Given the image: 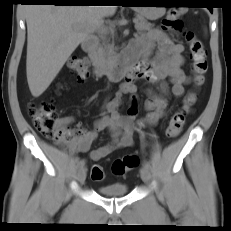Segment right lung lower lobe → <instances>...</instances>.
I'll list each match as a JSON object with an SVG mask.
<instances>
[{"label": "right lung lower lobe", "instance_id": "right-lung-lower-lobe-1", "mask_svg": "<svg viewBox=\"0 0 231 231\" xmlns=\"http://www.w3.org/2000/svg\"><path fill=\"white\" fill-rule=\"evenodd\" d=\"M28 3H51L54 5H85L83 0H25Z\"/></svg>", "mask_w": 231, "mask_h": 231}]
</instances>
